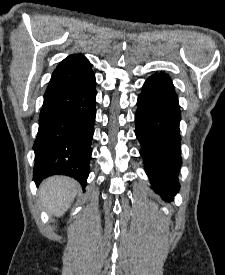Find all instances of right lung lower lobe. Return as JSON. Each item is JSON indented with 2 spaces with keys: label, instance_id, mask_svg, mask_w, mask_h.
I'll return each instance as SVG.
<instances>
[{
  "label": "right lung lower lobe",
  "instance_id": "1",
  "mask_svg": "<svg viewBox=\"0 0 225 275\" xmlns=\"http://www.w3.org/2000/svg\"><path fill=\"white\" fill-rule=\"evenodd\" d=\"M96 81L44 94L34 142L33 180L67 175L86 186L94 132Z\"/></svg>",
  "mask_w": 225,
  "mask_h": 275
}]
</instances>
